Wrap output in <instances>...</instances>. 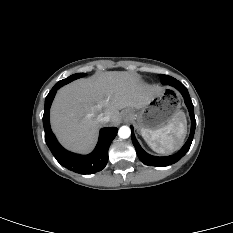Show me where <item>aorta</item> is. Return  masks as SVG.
Segmentation results:
<instances>
[{"label":"aorta","instance_id":"1","mask_svg":"<svg viewBox=\"0 0 233 233\" xmlns=\"http://www.w3.org/2000/svg\"><path fill=\"white\" fill-rule=\"evenodd\" d=\"M118 135L122 139L129 138V136L131 135V130L128 126H122L118 131Z\"/></svg>","mask_w":233,"mask_h":233}]
</instances>
